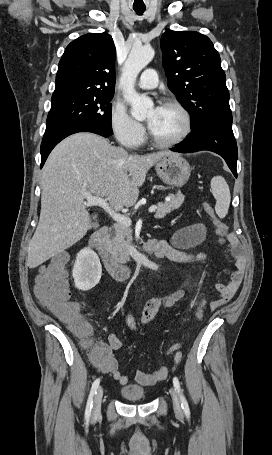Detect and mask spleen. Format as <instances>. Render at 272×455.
Wrapping results in <instances>:
<instances>
[{
  "instance_id": "1",
  "label": "spleen",
  "mask_w": 272,
  "mask_h": 455,
  "mask_svg": "<svg viewBox=\"0 0 272 455\" xmlns=\"http://www.w3.org/2000/svg\"><path fill=\"white\" fill-rule=\"evenodd\" d=\"M211 191L216 199L215 211L219 218H224L229 209L231 195L226 180L217 175L211 180Z\"/></svg>"
}]
</instances>
